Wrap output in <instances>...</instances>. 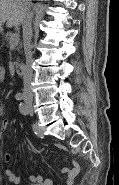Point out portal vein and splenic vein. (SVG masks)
Returning a JSON list of instances; mask_svg holds the SVG:
<instances>
[{
  "instance_id": "portal-vein-and-splenic-vein-1",
  "label": "portal vein and splenic vein",
  "mask_w": 119,
  "mask_h": 185,
  "mask_svg": "<svg viewBox=\"0 0 119 185\" xmlns=\"http://www.w3.org/2000/svg\"><path fill=\"white\" fill-rule=\"evenodd\" d=\"M19 43V34L15 33L11 36L9 44L11 47H15Z\"/></svg>"
}]
</instances>
